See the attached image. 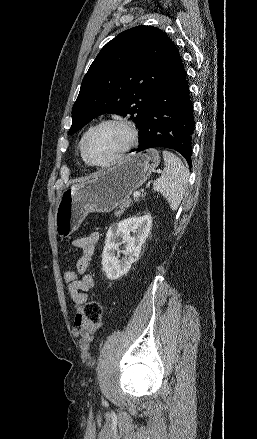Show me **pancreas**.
<instances>
[{"label": "pancreas", "mask_w": 257, "mask_h": 439, "mask_svg": "<svg viewBox=\"0 0 257 439\" xmlns=\"http://www.w3.org/2000/svg\"><path fill=\"white\" fill-rule=\"evenodd\" d=\"M143 197V196H142ZM134 201H138V197L134 198ZM133 203V201L131 199H127L125 200L118 208L117 210L114 212V215L116 217H120L127 208H129V206H131V204Z\"/></svg>", "instance_id": "1"}]
</instances>
